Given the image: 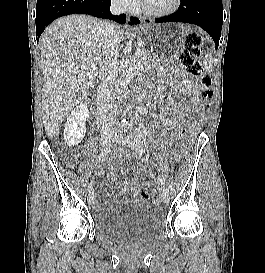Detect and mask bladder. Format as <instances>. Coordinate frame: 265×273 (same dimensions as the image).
<instances>
[{
  "label": "bladder",
  "mask_w": 265,
  "mask_h": 273,
  "mask_svg": "<svg viewBox=\"0 0 265 273\" xmlns=\"http://www.w3.org/2000/svg\"><path fill=\"white\" fill-rule=\"evenodd\" d=\"M95 221L101 234L130 244L146 242L164 229L162 211L153 204L127 205Z\"/></svg>",
  "instance_id": "obj_1"
}]
</instances>
